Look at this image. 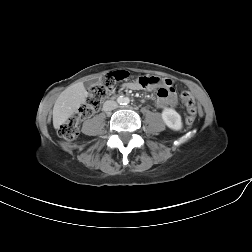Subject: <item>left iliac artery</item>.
Masks as SVG:
<instances>
[{
    "label": "left iliac artery",
    "instance_id": "obj_1",
    "mask_svg": "<svg viewBox=\"0 0 252 252\" xmlns=\"http://www.w3.org/2000/svg\"><path fill=\"white\" fill-rule=\"evenodd\" d=\"M130 100L128 98L125 99V104H129Z\"/></svg>",
    "mask_w": 252,
    "mask_h": 252
}]
</instances>
